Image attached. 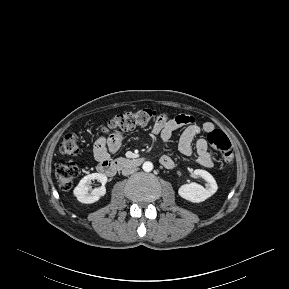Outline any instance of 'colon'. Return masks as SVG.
Returning a JSON list of instances; mask_svg holds the SVG:
<instances>
[{
    "instance_id": "obj_1",
    "label": "colon",
    "mask_w": 289,
    "mask_h": 289,
    "mask_svg": "<svg viewBox=\"0 0 289 289\" xmlns=\"http://www.w3.org/2000/svg\"><path fill=\"white\" fill-rule=\"evenodd\" d=\"M166 115L164 112L142 109L135 112H124L114 116L103 127L102 132L111 136L122 131H129L136 127L146 126L154 120ZM210 145L219 151L224 160L231 165L233 161L232 147L230 140L224 132L215 129L207 135ZM59 150L62 154L76 156L79 153L77 138L68 134L60 143ZM79 170L74 162L61 163L56 167V178L63 190H70L76 182Z\"/></svg>"
}]
</instances>
